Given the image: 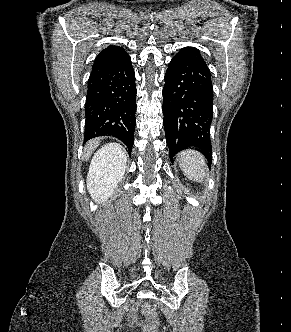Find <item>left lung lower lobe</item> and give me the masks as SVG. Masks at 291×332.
<instances>
[{
    "mask_svg": "<svg viewBox=\"0 0 291 332\" xmlns=\"http://www.w3.org/2000/svg\"><path fill=\"white\" fill-rule=\"evenodd\" d=\"M163 114L170 159L186 146H194L211 163L213 85L210 70L195 47L182 48L168 65Z\"/></svg>",
    "mask_w": 291,
    "mask_h": 332,
    "instance_id": "left-lung-lower-lobe-1",
    "label": "left lung lower lobe"
}]
</instances>
